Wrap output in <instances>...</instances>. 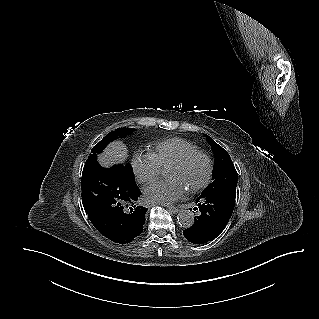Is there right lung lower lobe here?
I'll use <instances>...</instances> for the list:
<instances>
[{"instance_id": "obj_1", "label": "right lung lower lobe", "mask_w": 319, "mask_h": 319, "mask_svg": "<svg viewBox=\"0 0 319 319\" xmlns=\"http://www.w3.org/2000/svg\"><path fill=\"white\" fill-rule=\"evenodd\" d=\"M81 189L85 212L103 236L126 244L142 233L147 208L137 205L141 191L129 165L104 168L91 154L83 168Z\"/></svg>"}]
</instances>
